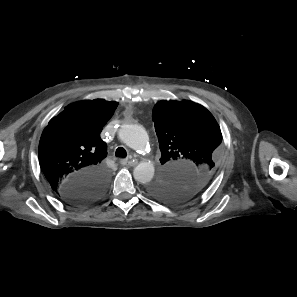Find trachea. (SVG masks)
Returning <instances> with one entry per match:
<instances>
[{
  "label": "trachea",
  "instance_id": "obj_1",
  "mask_svg": "<svg viewBox=\"0 0 297 297\" xmlns=\"http://www.w3.org/2000/svg\"><path fill=\"white\" fill-rule=\"evenodd\" d=\"M116 157L125 158L127 156V152L123 147L117 148L115 152Z\"/></svg>",
  "mask_w": 297,
  "mask_h": 297
}]
</instances>
